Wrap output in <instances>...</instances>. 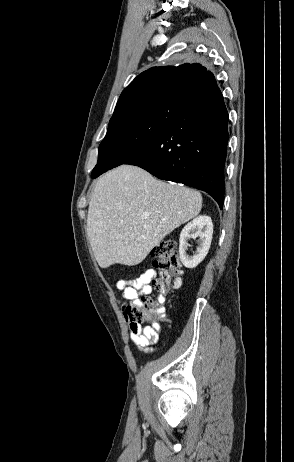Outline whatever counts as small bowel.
Here are the masks:
<instances>
[{
  "mask_svg": "<svg viewBox=\"0 0 294 462\" xmlns=\"http://www.w3.org/2000/svg\"><path fill=\"white\" fill-rule=\"evenodd\" d=\"M156 278V272L153 269H146L136 278L119 280L116 283V289L121 292V298L124 301L122 305L123 315L129 320V337L130 340L138 347L140 351L150 353L154 350L155 344L161 333V326L155 322L151 326H142L131 320L127 306L130 303L139 301L140 296H148L152 293L151 282ZM163 298H160L161 304Z\"/></svg>",
  "mask_w": 294,
  "mask_h": 462,
  "instance_id": "c3829d8e",
  "label": "small bowel"
}]
</instances>
